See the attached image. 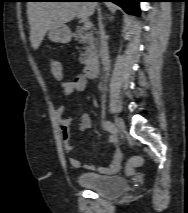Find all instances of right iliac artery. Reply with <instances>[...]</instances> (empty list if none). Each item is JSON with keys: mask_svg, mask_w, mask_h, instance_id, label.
Returning a JSON list of instances; mask_svg holds the SVG:
<instances>
[{"mask_svg": "<svg viewBox=\"0 0 188 213\" xmlns=\"http://www.w3.org/2000/svg\"><path fill=\"white\" fill-rule=\"evenodd\" d=\"M104 128H105V130H107L108 132H110L112 134H116L117 133L116 126L110 121H105L104 122Z\"/></svg>", "mask_w": 188, "mask_h": 213, "instance_id": "right-iliac-artery-1", "label": "right iliac artery"}]
</instances>
